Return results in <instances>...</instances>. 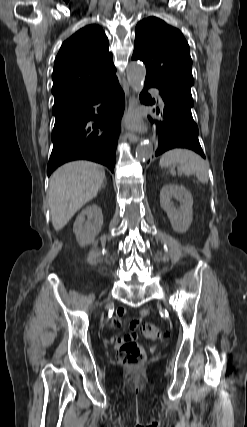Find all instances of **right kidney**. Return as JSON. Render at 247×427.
I'll return each instance as SVG.
<instances>
[{"label": "right kidney", "mask_w": 247, "mask_h": 427, "mask_svg": "<svg viewBox=\"0 0 247 427\" xmlns=\"http://www.w3.org/2000/svg\"><path fill=\"white\" fill-rule=\"evenodd\" d=\"M87 217V220H86ZM103 225L102 210L93 204L84 208L77 216L73 226L76 240L81 247L94 242Z\"/></svg>", "instance_id": "right-kidney-1"}]
</instances>
